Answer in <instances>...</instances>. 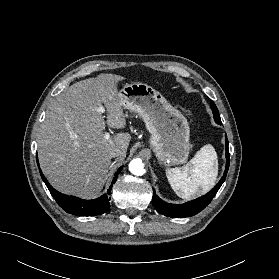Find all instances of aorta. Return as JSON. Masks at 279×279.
<instances>
[{
	"instance_id": "762f6f07",
	"label": "aorta",
	"mask_w": 279,
	"mask_h": 279,
	"mask_svg": "<svg viewBox=\"0 0 279 279\" xmlns=\"http://www.w3.org/2000/svg\"><path fill=\"white\" fill-rule=\"evenodd\" d=\"M129 170L132 174L137 175V176H141L145 173L144 166L142 164L141 159H139V158L133 159L129 163Z\"/></svg>"
}]
</instances>
